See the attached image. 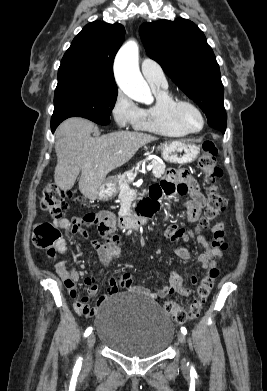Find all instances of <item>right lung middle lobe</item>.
Segmentation results:
<instances>
[{"label": "right lung middle lobe", "mask_w": 267, "mask_h": 391, "mask_svg": "<svg viewBox=\"0 0 267 391\" xmlns=\"http://www.w3.org/2000/svg\"><path fill=\"white\" fill-rule=\"evenodd\" d=\"M115 80L91 74H73L58 78L51 123L79 116L101 125L110 123L117 98Z\"/></svg>", "instance_id": "1"}]
</instances>
